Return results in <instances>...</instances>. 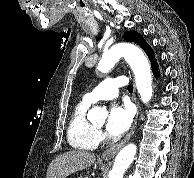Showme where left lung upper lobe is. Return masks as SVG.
Masks as SVG:
<instances>
[{
    "label": "left lung upper lobe",
    "mask_w": 194,
    "mask_h": 178,
    "mask_svg": "<svg viewBox=\"0 0 194 178\" xmlns=\"http://www.w3.org/2000/svg\"><path fill=\"white\" fill-rule=\"evenodd\" d=\"M124 39L126 41H129V42L137 43L146 52L150 61H152V64L155 62V60L153 59L154 52H153L152 48L146 43L144 38L139 33H137L136 31L125 32Z\"/></svg>",
    "instance_id": "1"
}]
</instances>
